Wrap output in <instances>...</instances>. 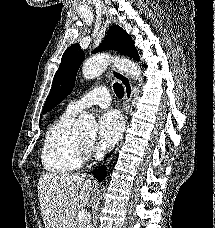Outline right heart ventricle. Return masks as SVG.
I'll return each instance as SVG.
<instances>
[{
	"mask_svg": "<svg viewBox=\"0 0 215 228\" xmlns=\"http://www.w3.org/2000/svg\"><path fill=\"white\" fill-rule=\"evenodd\" d=\"M74 117L75 114L66 111L46 131L41 160L45 170L50 173H71L78 170L82 164L83 149L71 131Z\"/></svg>",
	"mask_w": 215,
	"mask_h": 228,
	"instance_id": "e07e8e85",
	"label": "right heart ventricle"
}]
</instances>
